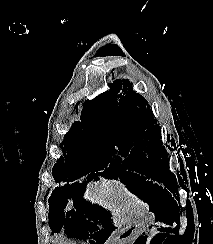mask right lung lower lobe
I'll return each mask as SVG.
<instances>
[{
	"label": "right lung lower lobe",
	"mask_w": 213,
	"mask_h": 244,
	"mask_svg": "<svg viewBox=\"0 0 213 244\" xmlns=\"http://www.w3.org/2000/svg\"><path fill=\"white\" fill-rule=\"evenodd\" d=\"M73 186V184L70 186V187H72ZM68 187V185H65L64 186V189H66ZM61 192V189L59 188L58 190H55L54 192H53V195H52V197H55V196H57L59 193ZM52 199V198H51Z\"/></svg>",
	"instance_id": "right-lung-lower-lobe-1"
}]
</instances>
